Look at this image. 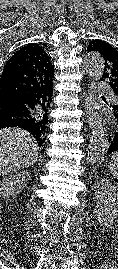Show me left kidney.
Wrapping results in <instances>:
<instances>
[{
  "label": "left kidney",
  "instance_id": "obj_1",
  "mask_svg": "<svg viewBox=\"0 0 118 269\" xmlns=\"http://www.w3.org/2000/svg\"><path fill=\"white\" fill-rule=\"evenodd\" d=\"M93 199L97 200L94 209L99 223L110 228L118 216V188L109 180L102 179L94 190Z\"/></svg>",
  "mask_w": 118,
  "mask_h": 269
}]
</instances>
